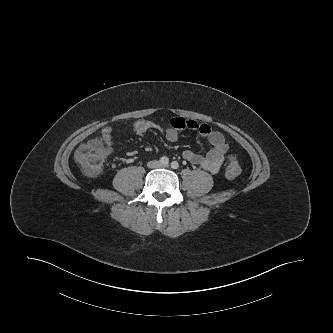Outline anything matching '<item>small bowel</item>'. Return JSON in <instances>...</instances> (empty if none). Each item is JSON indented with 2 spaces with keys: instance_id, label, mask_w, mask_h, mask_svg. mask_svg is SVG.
I'll return each mask as SVG.
<instances>
[{
  "instance_id": "c3829d8e",
  "label": "small bowel",
  "mask_w": 333,
  "mask_h": 333,
  "mask_svg": "<svg viewBox=\"0 0 333 333\" xmlns=\"http://www.w3.org/2000/svg\"><path fill=\"white\" fill-rule=\"evenodd\" d=\"M185 128L196 131L207 138L212 148L205 154L185 150L183 158L192 164L200 165L213 174L217 173L226 159L228 143L220 132L212 130L208 125L178 117L173 118L168 127H162L148 120L136 121L131 126V130L138 136H144L148 131L155 130L162 132L166 139L171 142H175L178 139V132ZM113 132V128L109 126L101 130V137L107 144L113 143ZM130 155L132 156L133 152Z\"/></svg>"
}]
</instances>
